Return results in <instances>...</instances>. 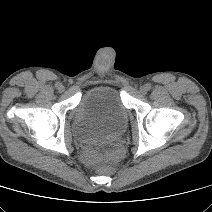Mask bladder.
Instances as JSON below:
<instances>
[{"label": "bladder", "instance_id": "obj_1", "mask_svg": "<svg viewBox=\"0 0 212 212\" xmlns=\"http://www.w3.org/2000/svg\"><path fill=\"white\" fill-rule=\"evenodd\" d=\"M128 124V111L119 92L108 86L95 87L80 98L74 112L73 134L81 143L123 133Z\"/></svg>", "mask_w": 212, "mask_h": 212}]
</instances>
